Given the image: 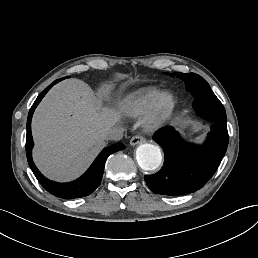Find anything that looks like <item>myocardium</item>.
Returning a JSON list of instances; mask_svg holds the SVG:
<instances>
[{"mask_svg": "<svg viewBox=\"0 0 258 258\" xmlns=\"http://www.w3.org/2000/svg\"><path fill=\"white\" fill-rule=\"evenodd\" d=\"M175 107L172 94L163 92L158 95L153 108L144 114L141 122L149 134H158L163 130L164 124Z\"/></svg>", "mask_w": 258, "mask_h": 258, "instance_id": "f54148a6", "label": "myocardium"}]
</instances>
